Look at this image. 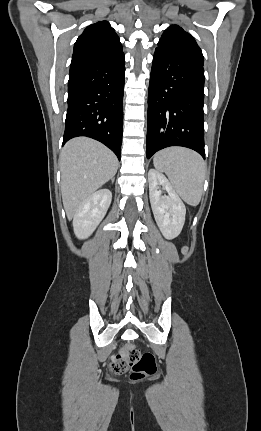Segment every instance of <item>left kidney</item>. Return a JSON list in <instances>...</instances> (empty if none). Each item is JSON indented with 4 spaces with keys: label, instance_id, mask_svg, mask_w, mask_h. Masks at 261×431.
<instances>
[{
    "label": "left kidney",
    "instance_id": "obj_1",
    "mask_svg": "<svg viewBox=\"0 0 261 431\" xmlns=\"http://www.w3.org/2000/svg\"><path fill=\"white\" fill-rule=\"evenodd\" d=\"M149 197L155 221L166 239L177 237L184 225L186 208L168 179L159 171L148 172ZM168 195H162L159 186Z\"/></svg>",
    "mask_w": 261,
    "mask_h": 431
}]
</instances>
